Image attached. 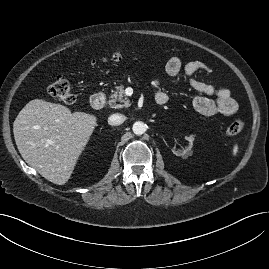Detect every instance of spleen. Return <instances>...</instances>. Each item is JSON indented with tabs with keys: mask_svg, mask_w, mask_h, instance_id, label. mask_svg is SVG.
Here are the masks:
<instances>
[{
	"mask_svg": "<svg viewBox=\"0 0 269 269\" xmlns=\"http://www.w3.org/2000/svg\"><path fill=\"white\" fill-rule=\"evenodd\" d=\"M238 152V145L235 144L234 147H233V155H236Z\"/></svg>",
	"mask_w": 269,
	"mask_h": 269,
	"instance_id": "obj_1",
	"label": "spleen"
}]
</instances>
